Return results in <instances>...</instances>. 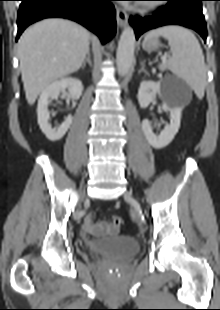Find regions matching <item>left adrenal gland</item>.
<instances>
[{
	"label": "left adrenal gland",
	"instance_id": "left-adrenal-gland-1",
	"mask_svg": "<svg viewBox=\"0 0 220 310\" xmlns=\"http://www.w3.org/2000/svg\"><path fill=\"white\" fill-rule=\"evenodd\" d=\"M144 72L145 74H148V72L145 70V62L141 63V69L138 71V73Z\"/></svg>",
	"mask_w": 220,
	"mask_h": 310
}]
</instances>
